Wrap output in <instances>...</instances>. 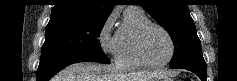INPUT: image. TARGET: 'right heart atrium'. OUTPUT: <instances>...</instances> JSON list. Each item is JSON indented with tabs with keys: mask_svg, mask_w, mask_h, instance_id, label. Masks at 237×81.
<instances>
[{
	"mask_svg": "<svg viewBox=\"0 0 237 81\" xmlns=\"http://www.w3.org/2000/svg\"><path fill=\"white\" fill-rule=\"evenodd\" d=\"M114 16L111 14L102 23L97 40L101 50L106 55H114L116 49V35L113 34Z\"/></svg>",
	"mask_w": 237,
	"mask_h": 81,
	"instance_id": "1",
	"label": "right heart atrium"
}]
</instances>
